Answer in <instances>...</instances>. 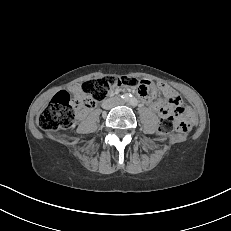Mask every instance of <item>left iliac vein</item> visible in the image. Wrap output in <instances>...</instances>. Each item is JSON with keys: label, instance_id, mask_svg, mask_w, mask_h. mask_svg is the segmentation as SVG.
Segmentation results:
<instances>
[{"label": "left iliac vein", "instance_id": "1", "mask_svg": "<svg viewBox=\"0 0 231 231\" xmlns=\"http://www.w3.org/2000/svg\"><path fill=\"white\" fill-rule=\"evenodd\" d=\"M118 105H124V102H123V101H121V102H119V103H118Z\"/></svg>", "mask_w": 231, "mask_h": 231}]
</instances>
